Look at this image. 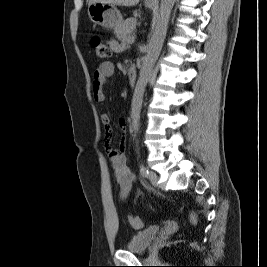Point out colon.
<instances>
[{
  "label": "colon",
  "mask_w": 267,
  "mask_h": 267,
  "mask_svg": "<svg viewBox=\"0 0 267 267\" xmlns=\"http://www.w3.org/2000/svg\"><path fill=\"white\" fill-rule=\"evenodd\" d=\"M91 45L98 57L107 58L111 55L110 47L106 43H104L99 37H94L91 40ZM190 219L192 222H195L196 216L194 214H191ZM129 220L133 228L135 229L142 228L143 221L139 216H130Z\"/></svg>",
  "instance_id": "1"
}]
</instances>
